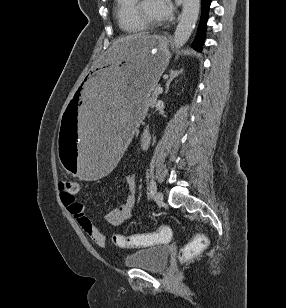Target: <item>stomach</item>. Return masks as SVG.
I'll use <instances>...</instances> for the list:
<instances>
[{
	"instance_id": "obj_1",
	"label": "stomach",
	"mask_w": 286,
	"mask_h": 308,
	"mask_svg": "<svg viewBox=\"0 0 286 308\" xmlns=\"http://www.w3.org/2000/svg\"><path fill=\"white\" fill-rule=\"evenodd\" d=\"M169 59L166 37L147 35L122 40L94 60L60 118L65 173L81 182H104L115 173Z\"/></svg>"
}]
</instances>
